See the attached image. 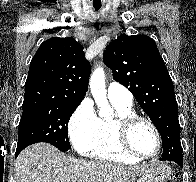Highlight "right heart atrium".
<instances>
[{"mask_svg":"<svg viewBox=\"0 0 196 182\" xmlns=\"http://www.w3.org/2000/svg\"><path fill=\"white\" fill-rule=\"evenodd\" d=\"M99 118L89 101H83L72 114L68 131L75 150L80 154H88L93 147L97 132Z\"/></svg>","mask_w":196,"mask_h":182,"instance_id":"right-heart-atrium-1","label":"right heart atrium"}]
</instances>
